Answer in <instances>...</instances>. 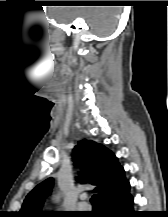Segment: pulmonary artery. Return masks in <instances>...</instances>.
Here are the masks:
<instances>
[{
	"label": "pulmonary artery",
	"mask_w": 168,
	"mask_h": 217,
	"mask_svg": "<svg viewBox=\"0 0 168 217\" xmlns=\"http://www.w3.org/2000/svg\"><path fill=\"white\" fill-rule=\"evenodd\" d=\"M81 199L83 200L84 197H81ZM78 208H79V209H88V205H87V203H85V202H83V201H80V202L78 203Z\"/></svg>",
	"instance_id": "1"
}]
</instances>
